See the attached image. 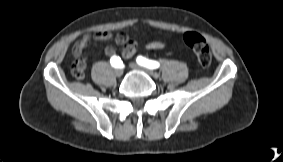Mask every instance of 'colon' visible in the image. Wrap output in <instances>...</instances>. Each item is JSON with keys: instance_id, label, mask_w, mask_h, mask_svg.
Returning <instances> with one entry per match:
<instances>
[{"instance_id": "colon-1", "label": "colon", "mask_w": 283, "mask_h": 162, "mask_svg": "<svg viewBox=\"0 0 283 162\" xmlns=\"http://www.w3.org/2000/svg\"><path fill=\"white\" fill-rule=\"evenodd\" d=\"M183 40L194 51L200 66L203 68L209 67L212 61V55L206 40L196 32L185 33ZM71 72L76 79H82L84 77V70L81 67H74Z\"/></svg>"}]
</instances>
